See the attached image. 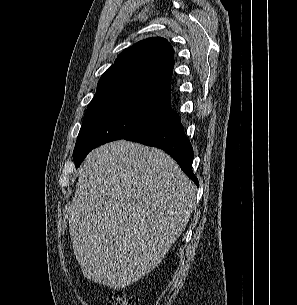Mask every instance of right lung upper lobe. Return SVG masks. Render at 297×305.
<instances>
[{
    "label": "right lung upper lobe",
    "mask_w": 297,
    "mask_h": 305,
    "mask_svg": "<svg viewBox=\"0 0 297 305\" xmlns=\"http://www.w3.org/2000/svg\"><path fill=\"white\" fill-rule=\"evenodd\" d=\"M174 50L161 37L144 39L125 49L101 76L88 106L121 97H143L171 103Z\"/></svg>",
    "instance_id": "right-lung-upper-lobe-1"
}]
</instances>
